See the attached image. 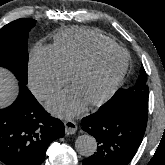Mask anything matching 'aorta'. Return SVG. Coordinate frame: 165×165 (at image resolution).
I'll use <instances>...</instances> for the list:
<instances>
[{
	"instance_id": "1",
	"label": "aorta",
	"mask_w": 165,
	"mask_h": 165,
	"mask_svg": "<svg viewBox=\"0 0 165 165\" xmlns=\"http://www.w3.org/2000/svg\"><path fill=\"white\" fill-rule=\"evenodd\" d=\"M75 149L82 156H91L97 149V141L89 134L80 135L75 141Z\"/></svg>"
}]
</instances>
